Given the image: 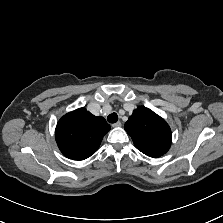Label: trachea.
<instances>
[{
  "label": "trachea",
  "mask_w": 223,
  "mask_h": 223,
  "mask_svg": "<svg viewBox=\"0 0 223 223\" xmlns=\"http://www.w3.org/2000/svg\"><path fill=\"white\" fill-rule=\"evenodd\" d=\"M107 121L109 123H116L118 121V115L116 113H111L108 117H107Z\"/></svg>",
  "instance_id": "obj_1"
}]
</instances>
